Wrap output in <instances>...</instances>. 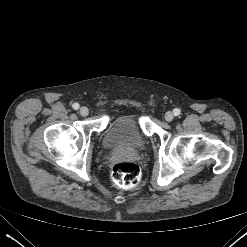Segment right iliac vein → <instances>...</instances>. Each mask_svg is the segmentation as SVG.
<instances>
[{"label": "right iliac vein", "instance_id": "right-iliac-vein-1", "mask_svg": "<svg viewBox=\"0 0 247 247\" xmlns=\"http://www.w3.org/2000/svg\"><path fill=\"white\" fill-rule=\"evenodd\" d=\"M79 113L81 116L86 117L89 114V110L87 107H81Z\"/></svg>", "mask_w": 247, "mask_h": 247}]
</instances>
